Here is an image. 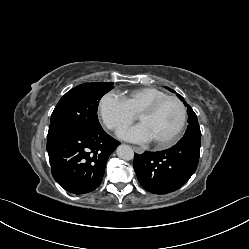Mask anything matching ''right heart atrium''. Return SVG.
<instances>
[{
	"label": "right heart atrium",
	"mask_w": 249,
	"mask_h": 249,
	"mask_svg": "<svg viewBox=\"0 0 249 249\" xmlns=\"http://www.w3.org/2000/svg\"><path fill=\"white\" fill-rule=\"evenodd\" d=\"M98 116L111 131L119 132L127 128L135 119L125 102L113 92L104 94L98 102Z\"/></svg>",
	"instance_id": "1"
}]
</instances>
